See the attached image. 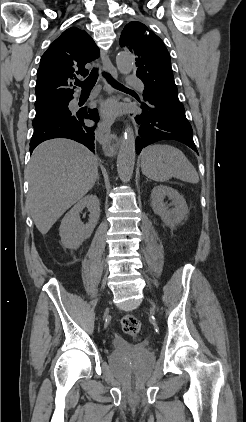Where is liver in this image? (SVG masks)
Instances as JSON below:
<instances>
[{
    "instance_id": "1",
    "label": "liver",
    "mask_w": 246,
    "mask_h": 422,
    "mask_svg": "<svg viewBox=\"0 0 246 422\" xmlns=\"http://www.w3.org/2000/svg\"><path fill=\"white\" fill-rule=\"evenodd\" d=\"M27 176V204L37 229L45 235L94 186L98 161L75 141L52 139L34 150Z\"/></svg>"
}]
</instances>
